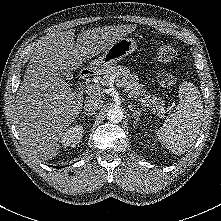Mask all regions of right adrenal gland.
Instances as JSON below:
<instances>
[{
	"label": "right adrenal gland",
	"instance_id": "2a0ac1e0",
	"mask_svg": "<svg viewBox=\"0 0 221 221\" xmlns=\"http://www.w3.org/2000/svg\"><path fill=\"white\" fill-rule=\"evenodd\" d=\"M82 114H85V115H87V116H92V115H94L95 113H90V112L83 111Z\"/></svg>",
	"mask_w": 221,
	"mask_h": 221
}]
</instances>
